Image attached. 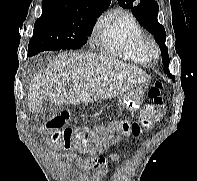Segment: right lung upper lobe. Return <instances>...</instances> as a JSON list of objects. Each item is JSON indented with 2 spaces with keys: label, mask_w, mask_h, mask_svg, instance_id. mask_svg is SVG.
Returning a JSON list of instances; mask_svg holds the SVG:
<instances>
[{
  "label": "right lung upper lobe",
  "mask_w": 197,
  "mask_h": 181,
  "mask_svg": "<svg viewBox=\"0 0 197 181\" xmlns=\"http://www.w3.org/2000/svg\"><path fill=\"white\" fill-rule=\"evenodd\" d=\"M110 3L111 0H44L42 12L61 16L101 14Z\"/></svg>",
  "instance_id": "cb5924a9"
}]
</instances>
